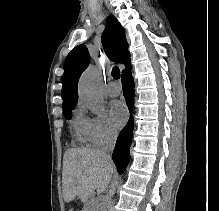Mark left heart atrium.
Wrapping results in <instances>:
<instances>
[{
    "label": "left heart atrium",
    "mask_w": 219,
    "mask_h": 211,
    "mask_svg": "<svg viewBox=\"0 0 219 211\" xmlns=\"http://www.w3.org/2000/svg\"><path fill=\"white\" fill-rule=\"evenodd\" d=\"M110 116L113 123L117 126H121L126 122L128 111L123 102L114 100L110 103Z\"/></svg>",
    "instance_id": "1"
}]
</instances>
